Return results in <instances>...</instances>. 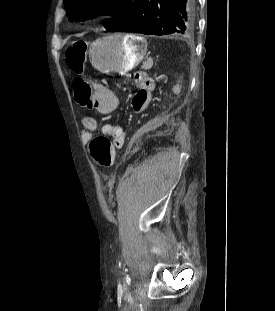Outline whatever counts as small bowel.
Returning <instances> with one entry per match:
<instances>
[{
  "label": "small bowel",
  "mask_w": 275,
  "mask_h": 311,
  "mask_svg": "<svg viewBox=\"0 0 275 311\" xmlns=\"http://www.w3.org/2000/svg\"><path fill=\"white\" fill-rule=\"evenodd\" d=\"M137 82L136 92L132 94V112H143L145 108H152L151 93H155V81L151 80V73H142L138 70L133 75ZM176 86H171V93H182L183 88L187 87V80H176ZM95 98L93 110L100 115H106L115 111L119 106V99L115 93L104 85H96L94 88ZM93 103V101H92ZM161 107L165 106L164 102L160 103ZM82 126V136L85 141L91 140L93 133L98 129L96 120L90 116L85 115L80 120ZM100 131L107 137L112 138L116 147H121L125 139V125L124 123H104L100 127Z\"/></svg>",
  "instance_id": "obj_1"
}]
</instances>
